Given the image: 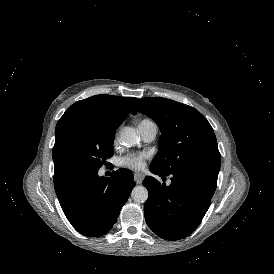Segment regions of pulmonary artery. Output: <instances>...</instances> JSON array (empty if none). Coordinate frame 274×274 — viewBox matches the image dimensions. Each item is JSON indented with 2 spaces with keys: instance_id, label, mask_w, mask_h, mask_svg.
<instances>
[{
  "instance_id": "1",
  "label": "pulmonary artery",
  "mask_w": 274,
  "mask_h": 274,
  "mask_svg": "<svg viewBox=\"0 0 274 274\" xmlns=\"http://www.w3.org/2000/svg\"><path fill=\"white\" fill-rule=\"evenodd\" d=\"M158 128L154 122L145 119L138 125V132L145 142H152L157 135Z\"/></svg>"
}]
</instances>
